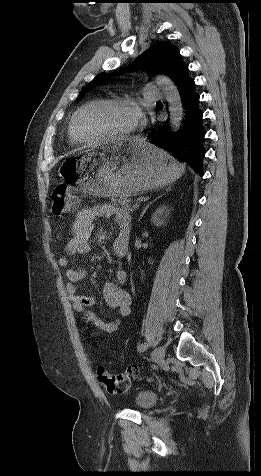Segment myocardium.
<instances>
[{
  "instance_id": "myocardium-1",
  "label": "myocardium",
  "mask_w": 261,
  "mask_h": 476,
  "mask_svg": "<svg viewBox=\"0 0 261 476\" xmlns=\"http://www.w3.org/2000/svg\"><path fill=\"white\" fill-rule=\"evenodd\" d=\"M98 104H114V105H120L123 107H127L131 110L134 111V113L137 115V122L128 130L116 133V134H108V135H103L95 138H87L84 137L81 132L79 131L78 128V119L81 113L86 110L87 108L98 105ZM140 124V111L138 109V106L134 103H132L129 100L121 99V98H96L93 100H90L86 102L85 104L81 105L74 113L72 119H71V131L75 139L79 143H84V144H95V143H101L104 141H109V140H124L130 137L135 130L138 128Z\"/></svg>"
}]
</instances>
